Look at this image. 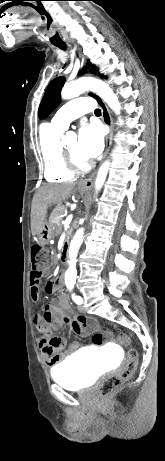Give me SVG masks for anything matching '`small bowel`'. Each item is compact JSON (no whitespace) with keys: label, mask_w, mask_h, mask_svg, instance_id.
<instances>
[{"label":"small bowel","mask_w":165,"mask_h":461,"mask_svg":"<svg viewBox=\"0 0 165 461\" xmlns=\"http://www.w3.org/2000/svg\"><path fill=\"white\" fill-rule=\"evenodd\" d=\"M58 277L62 276L61 272L57 273ZM60 279L48 281L43 290L47 294H53L61 287ZM40 282L30 280V298L33 303L40 299ZM35 327L40 332L38 339L39 349L46 364L54 367L65 358L62 350L66 346V341L61 336H54L53 332L64 324H68L71 330L82 337L88 336L97 328V323L82 315H73L67 294H60L57 299L45 305L42 314H36L33 318ZM87 341L86 339L84 340ZM104 337L101 332H93L90 340L82 345L84 350L91 348L92 351H102ZM81 347L77 341L71 342L67 348V354L76 352Z\"/></svg>","instance_id":"obj_1"}]
</instances>
